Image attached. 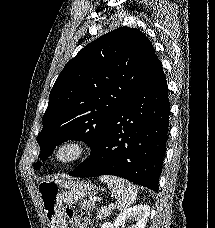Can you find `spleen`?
I'll return each instance as SVG.
<instances>
[{"instance_id": "3e777b00", "label": "spleen", "mask_w": 215, "mask_h": 228, "mask_svg": "<svg viewBox=\"0 0 215 228\" xmlns=\"http://www.w3.org/2000/svg\"><path fill=\"white\" fill-rule=\"evenodd\" d=\"M99 180L105 182L115 196L117 210H127L135 202L138 190L131 182L117 176H100Z\"/></svg>"}]
</instances>
